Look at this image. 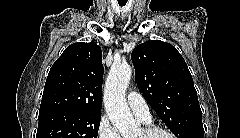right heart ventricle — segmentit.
<instances>
[{"label": "right heart ventricle", "mask_w": 240, "mask_h": 138, "mask_svg": "<svg viewBox=\"0 0 240 138\" xmlns=\"http://www.w3.org/2000/svg\"><path fill=\"white\" fill-rule=\"evenodd\" d=\"M143 121V120H142ZM144 123H149L150 121L149 120H147V121H143Z\"/></svg>", "instance_id": "obj_1"}]
</instances>
